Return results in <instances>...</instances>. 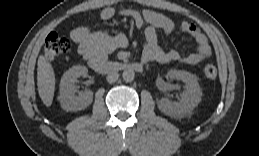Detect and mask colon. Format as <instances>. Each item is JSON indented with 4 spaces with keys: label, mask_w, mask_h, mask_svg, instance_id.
I'll return each instance as SVG.
<instances>
[{
    "label": "colon",
    "mask_w": 259,
    "mask_h": 156,
    "mask_svg": "<svg viewBox=\"0 0 259 156\" xmlns=\"http://www.w3.org/2000/svg\"><path fill=\"white\" fill-rule=\"evenodd\" d=\"M70 50V42L66 38L58 36L56 33H50L44 46V54L48 60H55ZM204 76L208 79H214L217 76V68L214 65H206L203 70Z\"/></svg>",
    "instance_id": "5ec220e1"
}]
</instances>
